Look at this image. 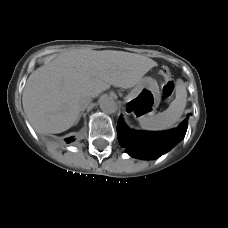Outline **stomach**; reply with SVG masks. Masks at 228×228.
Wrapping results in <instances>:
<instances>
[{
    "label": "stomach",
    "instance_id": "obj_1",
    "mask_svg": "<svg viewBox=\"0 0 228 228\" xmlns=\"http://www.w3.org/2000/svg\"><path fill=\"white\" fill-rule=\"evenodd\" d=\"M161 100L159 86L151 77L142 78L136 87L127 96L133 114L142 119L152 116Z\"/></svg>",
    "mask_w": 228,
    "mask_h": 228
}]
</instances>
